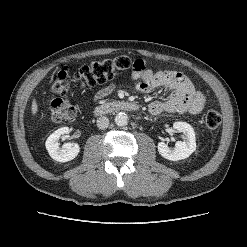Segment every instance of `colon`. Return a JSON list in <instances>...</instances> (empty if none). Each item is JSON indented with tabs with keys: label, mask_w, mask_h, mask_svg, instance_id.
Returning a JSON list of instances; mask_svg holds the SVG:
<instances>
[{
	"label": "colon",
	"mask_w": 247,
	"mask_h": 247,
	"mask_svg": "<svg viewBox=\"0 0 247 247\" xmlns=\"http://www.w3.org/2000/svg\"><path fill=\"white\" fill-rule=\"evenodd\" d=\"M143 68L141 61L132 60L127 56L105 58L94 61L79 68L72 76L69 69L64 68L58 72L51 84V90L58 97L47 101L51 118L56 122L72 119L79 111V107L71 104L66 98L72 91L73 83L82 87H93L104 84L120 76L130 68ZM221 123V114L215 109L209 110L205 115V125L209 129H216Z\"/></svg>",
	"instance_id": "5ec220e1"
}]
</instances>
